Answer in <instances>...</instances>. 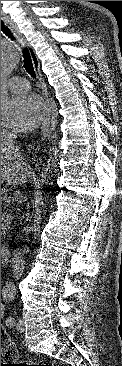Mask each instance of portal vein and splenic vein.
<instances>
[{
    "label": "portal vein and splenic vein",
    "instance_id": "portal-vein-and-splenic-vein-1",
    "mask_svg": "<svg viewBox=\"0 0 122 366\" xmlns=\"http://www.w3.org/2000/svg\"><path fill=\"white\" fill-rule=\"evenodd\" d=\"M6 201L9 202V199L7 198Z\"/></svg>",
    "mask_w": 122,
    "mask_h": 366
}]
</instances>
